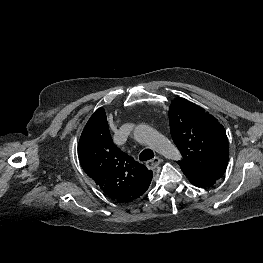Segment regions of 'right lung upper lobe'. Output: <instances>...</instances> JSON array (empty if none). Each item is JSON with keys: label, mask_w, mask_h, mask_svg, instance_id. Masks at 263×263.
Here are the masks:
<instances>
[{"label": "right lung upper lobe", "mask_w": 263, "mask_h": 263, "mask_svg": "<svg viewBox=\"0 0 263 263\" xmlns=\"http://www.w3.org/2000/svg\"><path fill=\"white\" fill-rule=\"evenodd\" d=\"M78 157L86 174L114 201L133 202L151 183L153 172L113 143L103 108L84 127Z\"/></svg>", "instance_id": "1"}]
</instances>
